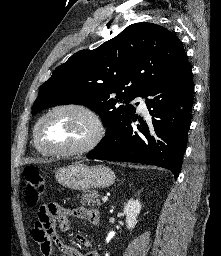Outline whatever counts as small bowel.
Listing matches in <instances>:
<instances>
[{"label":"small bowel","mask_w":221,"mask_h":256,"mask_svg":"<svg viewBox=\"0 0 221 256\" xmlns=\"http://www.w3.org/2000/svg\"><path fill=\"white\" fill-rule=\"evenodd\" d=\"M72 217L87 220L92 225H98L100 221V214L96 209L85 207L68 209L52 203L44 204L40 207L38 218L32 229V236L39 245L43 256H52L53 242L65 256H100L96 250L82 253L62 241L57 228L59 227L62 231L69 230L72 224ZM77 240L82 246L91 247V240L86 235L78 234Z\"/></svg>","instance_id":"obj_1"}]
</instances>
